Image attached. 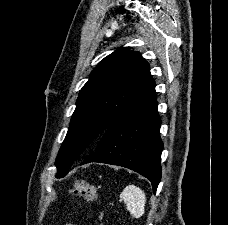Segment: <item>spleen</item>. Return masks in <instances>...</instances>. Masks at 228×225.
<instances>
[{
    "instance_id": "3e777b00",
    "label": "spleen",
    "mask_w": 228,
    "mask_h": 225,
    "mask_svg": "<svg viewBox=\"0 0 228 225\" xmlns=\"http://www.w3.org/2000/svg\"><path fill=\"white\" fill-rule=\"evenodd\" d=\"M120 201H124L127 211L132 217L140 219L145 213L146 195L139 187L128 185L120 195Z\"/></svg>"
}]
</instances>
